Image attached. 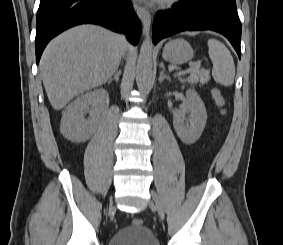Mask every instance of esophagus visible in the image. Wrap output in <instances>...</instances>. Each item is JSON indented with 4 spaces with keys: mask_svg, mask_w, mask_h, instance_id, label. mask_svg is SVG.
Instances as JSON below:
<instances>
[{
    "mask_svg": "<svg viewBox=\"0 0 283 245\" xmlns=\"http://www.w3.org/2000/svg\"><path fill=\"white\" fill-rule=\"evenodd\" d=\"M134 9L143 24V34L147 35L151 25V15L145 8L136 3H134Z\"/></svg>",
    "mask_w": 283,
    "mask_h": 245,
    "instance_id": "34e87169",
    "label": "esophagus"
}]
</instances>
